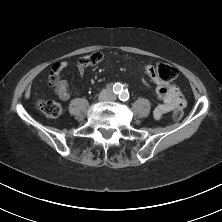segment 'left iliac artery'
Listing matches in <instances>:
<instances>
[{"mask_svg":"<svg viewBox=\"0 0 222 222\" xmlns=\"http://www.w3.org/2000/svg\"><path fill=\"white\" fill-rule=\"evenodd\" d=\"M119 99L121 101H127L129 99V93L127 90H123L120 94H119Z\"/></svg>","mask_w":222,"mask_h":222,"instance_id":"left-iliac-artery-1","label":"left iliac artery"}]
</instances>
